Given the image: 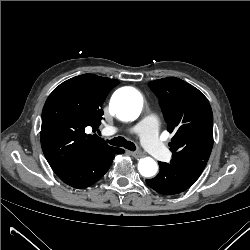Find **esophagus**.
<instances>
[{
	"label": "esophagus",
	"instance_id": "34e87169",
	"mask_svg": "<svg viewBox=\"0 0 250 250\" xmlns=\"http://www.w3.org/2000/svg\"><path fill=\"white\" fill-rule=\"evenodd\" d=\"M130 154L135 158H140L143 156L142 152H130Z\"/></svg>",
	"mask_w": 250,
	"mask_h": 250
}]
</instances>
